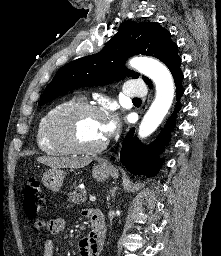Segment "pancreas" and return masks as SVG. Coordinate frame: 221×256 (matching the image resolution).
I'll return each instance as SVG.
<instances>
[{
    "mask_svg": "<svg viewBox=\"0 0 221 256\" xmlns=\"http://www.w3.org/2000/svg\"><path fill=\"white\" fill-rule=\"evenodd\" d=\"M68 201L73 204L86 203L87 201V192L81 191L78 188H75L72 192L68 194Z\"/></svg>",
    "mask_w": 221,
    "mask_h": 256,
    "instance_id": "cf45deb5",
    "label": "pancreas"
}]
</instances>
